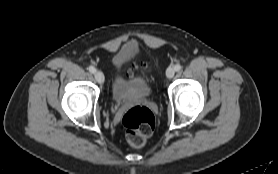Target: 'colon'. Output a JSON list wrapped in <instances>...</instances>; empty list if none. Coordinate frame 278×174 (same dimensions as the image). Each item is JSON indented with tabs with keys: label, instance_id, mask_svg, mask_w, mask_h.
Wrapping results in <instances>:
<instances>
[{
	"label": "colon",
	"instance_id": "obj_1",
	"mask_svg": "<svg viewBox=\"0 0 278 174\" xmlns=\"http://www.w3.org/2000/svg\"><path fill=\"white\" fill-rule=\"evenodd\" d=\"M122 124L129 144L141 147L154 130L155 118L147 107L135 106L123 116Z\"/></svg>",
	"mask_w": 278,
	"mask_h": 174
}]
</instances>
